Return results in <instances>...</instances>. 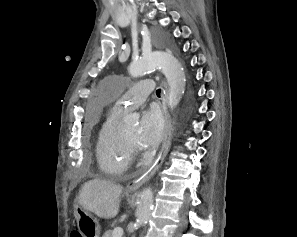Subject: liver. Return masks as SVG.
I'll list each match as a JSON object with an SVG mask.
<instances>
[{"mask_svg":"<svg viewBox=\"0 0 297 237\" xmlns=\"http://www.w3.org/2000/svg\"><path fill=\"white\" fill-rule=\"evenodd\" d=\"M122 187L111 182L93 179L80 191L78 203L100 218L111 219L119 212Z\"/></svg>","mask_w":297,"mask_h":237,"instance_id":"6515ba94","label":"liver"}]
</instances>
